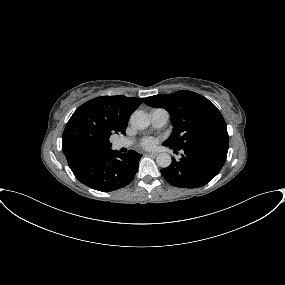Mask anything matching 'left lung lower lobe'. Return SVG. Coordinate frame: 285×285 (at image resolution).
Segmentation results:
<instances>
[{"label": "left lung lower lobe", "mask_w": 285, "mask_h": 285, "mask_svg": "<svg viewBox=\"0 0 285 285\" xmlns=\"http://www.w3.org/2000/svg\"><path fill=\"white\" fill-rule=\"evenodd\" d=\"M227 153L216 149L183 150L180 161L161 169L165 180L179 188H198L206 185L222 169Z\"/></svg>", "instance_id": "obj_1"}]
</instances>
